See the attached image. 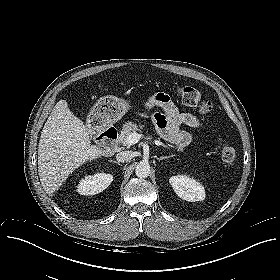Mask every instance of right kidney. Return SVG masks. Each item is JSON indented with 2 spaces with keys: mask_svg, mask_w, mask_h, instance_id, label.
<instances>
[{
  "mask_svg": "<svg viewBox=\"0 0 280 280\" xmlns=\"http://www.w3.org/2000/svg\"><path fill=\"white\" fill-rule=\"evenodd\" d=\"M112 181L113 176L106 173H97L92 176H86L79 182L77 191L81 195H95L105 190Z\"/></svg>",
  "mask_w": 280,
  "mask_h": 280,
  "instance_id": "right-kidney-1",
  "label": "right kidney"
}]
</instances>
